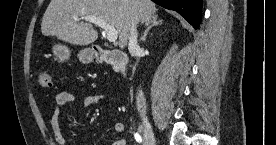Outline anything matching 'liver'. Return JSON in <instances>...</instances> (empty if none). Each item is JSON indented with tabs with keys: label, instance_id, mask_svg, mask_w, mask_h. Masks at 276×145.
<instances>
[{
	"label": "liver",
	"instance_id": "liver-1",
	"mask_svg": "<svg viewBox=\"0 0 276 145\" xmlns=\"http://www.w3.org/2000/svg\"><path fill=\"white\" fill-rule=\"evenodd\" d=\"M156 11L150 0H51L42 18L41 32L74 45H89L96 41L98 32L90 23L77 22L74 16H95L117 30L119 47L124 48L132 24L152 19Z\"/></svg>",
	"mask_w": 276,
	"mask_h": 145
}]
</instances>
